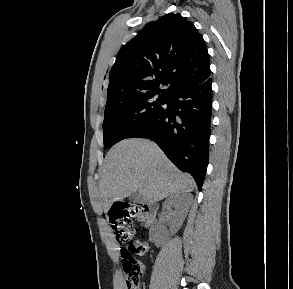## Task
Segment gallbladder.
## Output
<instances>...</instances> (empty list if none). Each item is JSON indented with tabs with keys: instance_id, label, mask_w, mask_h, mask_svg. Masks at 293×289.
Returning <instances> with one entry per match:
<instances>
[{
	"instance_id": "gallbladder-1",
	"label": "gallbladder",
	"mask_w": 293,
	"mask_h": 289,
	"mask_svg": "<svg viewBox=\"0 0 293 289\" xmlns=\"http://www.w3.org/2000/svg\"><path fill=\"white\" fill-rule=\"evenodd\" d=\"M129 199L134 203H143L142 197L137 192L133 193Z\"/></svg>"
}]
</instances>
